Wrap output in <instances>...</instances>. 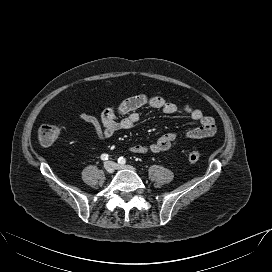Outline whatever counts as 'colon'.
I'll use <instances>...</instances> for the list:
<instances>
[{"mask_svg": "<svg viewBox=\"0 0 272 272\" xmlns=\"http://www.w3.org/2000/svg\"><path fill=\"white\" fill-rule=\"evenodd\" d=\"M60 127L54 124H46L39 128L37 138L41 145L49 146L53 144L60 135ZM201 154L198 151H193L188 155L190 163H196L200 160Z\"/></svg>", "mask_w": 272, "mask_h": 272, "instance_id": "5ec220e1", "label": "colon"}]
</instances>
